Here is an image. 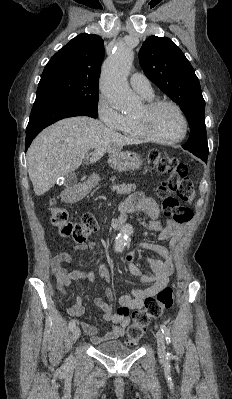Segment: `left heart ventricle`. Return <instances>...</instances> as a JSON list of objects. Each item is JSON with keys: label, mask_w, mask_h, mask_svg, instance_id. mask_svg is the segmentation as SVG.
Here are the masks:
<instances>
[{"label": "left heart ventricle", "mask_w": 232, "mask_h": 399, "mask_svg": "<svg viewBox=\"0 0 232 399\" xmlns=\"http://www.w3.org/2000/svg\"><path fill=\"white\" fill-rule=\"evenodd\" d=\"M145 115L144 106L135 118ZM148 126L151 132L161 139H176L183 132V122L178 111L169 105L157 108L148 117Z\"/></svg>", "instance_id": "obj_1"}]
</instances>
